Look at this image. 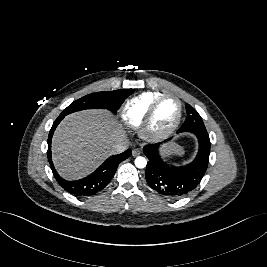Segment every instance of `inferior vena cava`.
<instances>
[{"mask_svg":"<svg viewBox=\"0 0 267 267\" xmlns=\"http://www.w3.org/2000/svg\"><path fill=\"white\" fill-rule=\"evenodd\" d=\"M129 146V142L127 140L118 141L113 145V152L114 153H121L124 152Z\"/></svg>","mask_w":267,"mask_h":267,"instance_id":"1","label":"inferior vena cava"}]
</instances>
